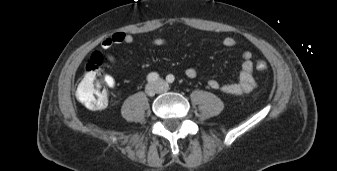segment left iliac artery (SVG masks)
<instances>
[{
    "label": "left iliac artery",
    "instance_id": "obj_1",
    "mask_svg": "<svg viewBox=\"0 0 337 171\" xmlns=\"http://www.w3.org/2000/svg\"><path fill=\"white\" fill-rule=\"evenodd\" d=\"M166 80H167L169 83H173L174 80H175V77H174L172 74H169V75L166 77Z\"/></svg>",
    "mask_w": 337,
    "mask_h": 171
}]
</instances>
